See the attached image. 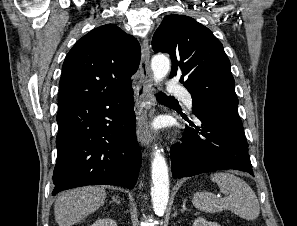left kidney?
Wrapping results in <instances>:
<instances>
[{
  "instance_id": "5707ae66",
  "label": "left kidney",
  "mask_w": 297,
  "mask_h": 226,
  "mask_svg": "<svg viewBox=\"0 0 297 226\" xmlns=\"http://www.w3.org/2000/svg\"><path fill=\"white\" fill-rule=\"evenodd\" d=\"M192 226H220V225L216 222H210L202 217H198L197 219H195Z\"/></svg>"
}]
</instances>
